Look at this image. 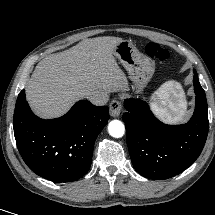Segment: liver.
I'll return each instance as SVG.
<instances>
[{"label": "liver", "mask_w": 215, "mask_h": 215, "mask_svg": "<svg viewBox=\"0 0 215 215\" xmlns=\"http://www.w3.org/2000/svg\"><path fill=\"white\" fill-rule=\"evenodd\" d=\"M118 37L85 39L63 52L46 56L26 83V97L42 118H57L91 92L126 90L128 81L114 58Z\"/></svg>", "instance_id": "obj_1"}]
</instances>
